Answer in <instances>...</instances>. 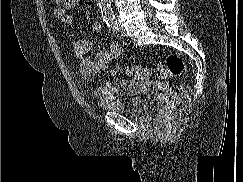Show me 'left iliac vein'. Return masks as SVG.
Returning <instances> with one entry per match:
<instances>
[{"mask_svg": "<svg viewBox=\"0 0 243 182\" xmlns=\"http://www.w3.org/2000/svg\"><path fill=\"white\" fill-rule=\"evenodd\" d=\"M121 36L122 37H127V33L124 29H121Z\"/></svg>", "mask_w": 243, "mask_h": 182, "instance_id": "obj_1", "label": "left iliac vein"}]
</instances>
